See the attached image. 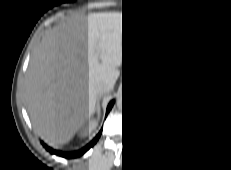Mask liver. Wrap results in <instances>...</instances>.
I'll use <instances>...</instances> for the list:
<instances>
[{
    "label": "liver",
    "mask_w": 231,
    "mask_h": 170,
    "mask_svg": "<svg viewBox=\"0 0 231 170\" xmlns=\"http://www.w3.org/2000/svg\"><path fill=\"white\" fill-rule=\"evenodd\" d=\"M97 41L99 62L89 41ZM122 57V15L73 13L43 40L26 79L36 134L52 147L68 142L94 111L95 86L113 85Z\"/></svg>",
    "instance_id": "6515ba94"
}]
</instances>
